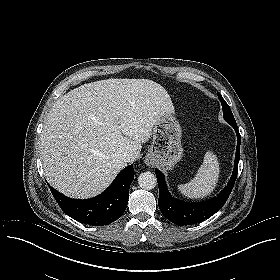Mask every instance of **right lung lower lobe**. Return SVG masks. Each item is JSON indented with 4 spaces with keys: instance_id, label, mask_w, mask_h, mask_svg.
I'll return each mask as SVG.
<instances>
[{
    "instance_id": "1",
    "label": "right lung lower lobe",
    "mask_w": 280,
    "mask_h": 280,
    "mask_svg": "<svg viewBox=\"0 0 280 280\" xmlns=\"http://www.w3.org/2000/svg\"><path fill=\"white\" fill-rule=\"evenodd\" d=\"M133 179L132 164L123 169L103 193L86 200L68 198L49 187L56 202L68 216L85 224L103 226L116 221L124 213Z\"/></svg>"
}]
</instances>
